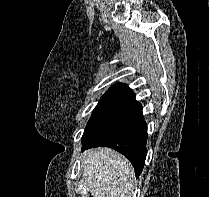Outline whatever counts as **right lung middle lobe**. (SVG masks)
Segmentation results:
<instances>
[{"instance_id": "obj_1", "label": "right lung middle lobe", "mask_w": 209, "mask_h": 197, "mask_svg": "<svg viewBox=\"0 0 209 197\" xmlns=\"http://www.w3.org/2000/svg\"><path fill=\"white\" fill-rule=\"evenodd\" d=\"M133 99H135L133 91L121 86L114 85L100 99L99 103L93 111L90 120L87 123V127L94 122L99 121L112 111L129 103Z\"/></svg>"}]
</instances>
